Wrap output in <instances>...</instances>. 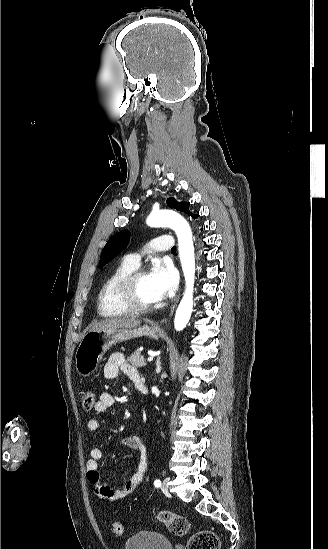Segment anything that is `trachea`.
<instances>
[{"instance_id":"3493384b","label":"trachea","mask_w":328,"mask_h":549,"mask_svg":"<svg viewBox=\"0 0 328 549\" xmlns=\"http://www.w3.org/2000/svg\"><path fill=\"white\" fill-rule=\"evenodd\" d=\"M175 249H176V247H175V246H174V247H172V251H175Z\"/></svg>"}]
</instances>
